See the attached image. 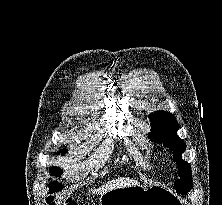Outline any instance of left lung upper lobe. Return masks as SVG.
Segmentation results:
<instances>
[{
    "label": "left lung upper lobe",
    "mask_w": 222,
    "mask_h": 205,
    "mask_svg": "<svg viewBox=\"0 0 222 205\" xmlns=\"http://www.w3.org/2000/svg\"><path fill=\"white\" fill-rule=\"evenodd\" d=\"M151 121V133L148 137L153 142H163L164 145L173 151L174 160L178 163V179L175 189L185 194L192 189L190 164L182 159V153L186 150L184 140L177 136L179 124L174 115L166 111H158L149 115Z\"/></svg>",
    "instance_id": "left-lung-upper-lobe-1"
}]
</instances>
